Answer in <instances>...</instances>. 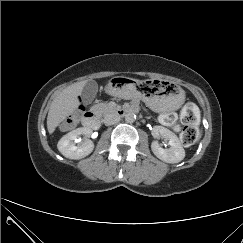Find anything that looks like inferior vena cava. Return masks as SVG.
<instances>
[{"instance_id":"602c4592","label":"inferior vena cava","mask_w":243,"mask_h":243,"mask_svg":"<svg viewBox=\"0 0 243 243\" xmlns=\"http://www.w3.org/2000/svg\"><path fill=\"white\" fill-rule=\"evenodd\" d=\"M103 121L106 126H110V125L118 123L120 121V116H118L115 113H110V114L105 115Z\"/></svg>"}]
</instances>
